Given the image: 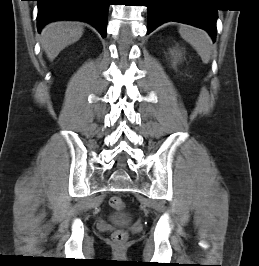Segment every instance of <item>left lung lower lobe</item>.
<instances>
[{"label":"left lung lower lobe","instance_id":"left-lung-lower-lobe-1","mask_svg":"<svg viewBox=\"0 0 259 266\" xmlns=\"http://www.w3.org/2000/svg\"><path fill=\"white\" fill-rule=\"evenodd\" d=\"M147 34L164 22L175 21L190 24L206 30L215 41L217 10L197 0L192 6L190 0H147Z\"/></svg>","mask_w":259,"mask_h":266}]
</instances>
